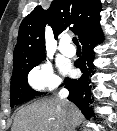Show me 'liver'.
<instances>
[{
    "instance_id": "obj_1",
    "label": "liver",
    "mask_w": 117,
    "mask_h": 131,
    "mask_svg": "<svg viewBox=\"0 0 117 131\" xmlns=\"http://www.w3.org/2000/svg\"><path fill=\"white\" fill-rule=\"evenodd\" d=\"M80 110L59 98L44 99L21 108L12 131H67L82 122Z\"/></svg>"
}]
</instances>
